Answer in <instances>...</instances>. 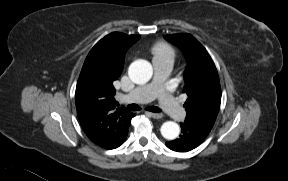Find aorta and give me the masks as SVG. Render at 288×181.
I'll use <instances>...</instances> for the list:
<instances>
[{
  "instance_id": "762f6f07",
  "label": "aorta",
  "mask_w": 288,
  "mask_h": 181,
  "mask_svg": "<svg viewBox=\"0 0 288 181\" xmlns=\"http://www.w3.org/2000/svg\"><path fill=\"white\" fill-rule=\"evenodd\" d=\"M130 79L136 84H145L153 74L152 65L146 60H136L128 69ZM161 134L167 140H174L180 133L179 125L173 121H166L161 126Z\"/></svg>"
}]
</instances>
